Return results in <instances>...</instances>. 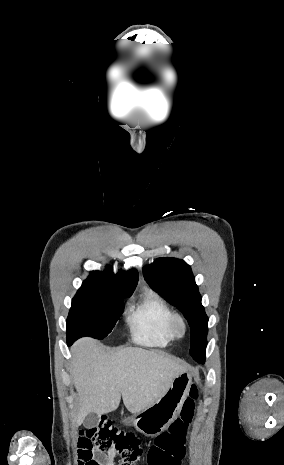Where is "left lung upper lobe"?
I'll return each instance as SVG.
<instances>
[{
  "instance_id": "obj_1",
  "label": "left lung upper lobe",
  "mask_w": 284,
  "mask_h": 465,
  "mask_svg": "<svg viewBox=\"0 0 284 465\" xmlns=\"http://www.w3.org/2000/svg\"><path fill=\"white\" fill-rule=\"evenodd\" d=\"M143 274L150 287L176 306L188 320L191 328L190 355L197 362L204 363L208 317L190 266L181 259L159 258L144 268Z\"/></svg>"
}]
</instances>
